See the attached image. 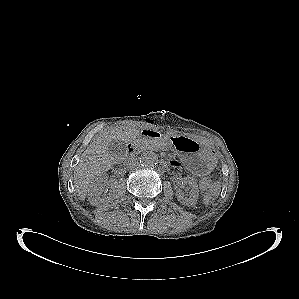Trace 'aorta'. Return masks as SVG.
Segmentation results:
<instances>
[{
  "instance_id": "obj_1",
  "label": "aorta",
  "mask_w": 299,
  "mask_h": 299,
  "mask_svg": "<svg viewBox=\"0 0 299 299\" xmlns=\"http://www.w3.org/2000/svg\"><path fill=\"white\" fill-rule=\"evenodd\" d=\"M141 164L145 167L152 168L159 163L158 155L154 152H145L141 156Z\"/></svg>"
}]
</instances>
